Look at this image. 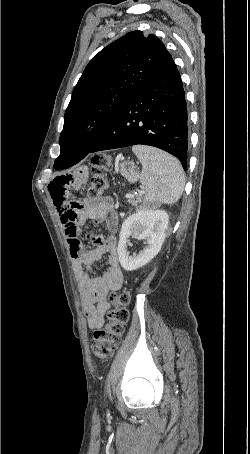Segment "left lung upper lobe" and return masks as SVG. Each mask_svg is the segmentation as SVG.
<instances>
[{
    "instance_id": "5c2ea615",
    "label": "left lung upper lobe",
    "mask_w": 250,
    "mask_h": 454,
    "mask_svg": "<svg viewBox=\"0 0 250 454\" xmlns=\"http://www.w3.org/2000/svg\"><path fill=\"white\" fill-rule=\"evenodd\" d=\"M171 58L155 35L142 31L129 32L101 50L72 92L59 157L88 154L122 107Z\"/></svg>"
}]
</instances>
